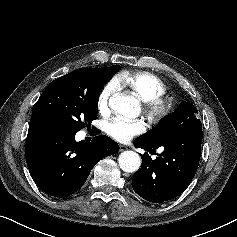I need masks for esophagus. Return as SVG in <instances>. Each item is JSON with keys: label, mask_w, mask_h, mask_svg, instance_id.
Masks as SVG:
<instances>
[{"label": "esophagus", "mask_w": 237, "mask_h": 237, "mask_svg": "<svg viewBox=\"0 0 237 237\" xmlns=\"http://www.w3.org/2000/svg\"><path fill=\"white\" fill-rule=\"evenodd\" d=\"M119 150L122 152V151H125V150H127V147L125 146V145H122V144H120L119 145Z\"/></svg>", "instance_id": "34e87169"}]
</instances>
